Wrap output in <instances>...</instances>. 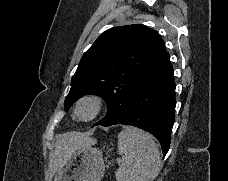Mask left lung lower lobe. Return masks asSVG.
<instances>
[{
  "instance_id": "0a47b994",
  "label": "left lung lower lobe",
  "mask_w": 228,
  "mask_h": 181,
  "mask_svg": "<svg viewBox=\"0 0 228 181\" xmlns=\"http://www.w3.org/2000/svg\"><path fill=\"white\" fill-rule=\"evenodd\" d=\"M175 105L173 68L165 51L142 74L124 116L113 125H132L151 133L159 140L165 157L170 148Z\"/></svg>"
}]
</instances>
